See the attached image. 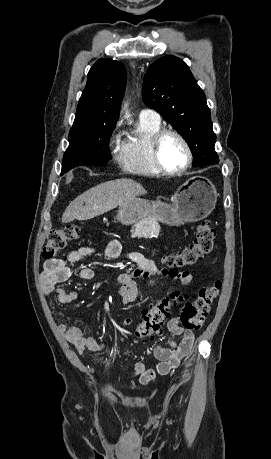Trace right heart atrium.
I'll list each match as a JSON object with an SVG mask.
<instances>
[{
	"label": "right heart atrium",
	"instance_id": "d8ad5b80",
	"mask_svg": "<svg viewBox=\"0 0 271 459\" xmlns=\"http://www.w3.org/2000/svg\"><path fill=\"white\" fill-rule=\"evenodd\" d=\"M107 145L115 154L117 160L120 159V148L122 144V133L120 131V124L116 123L107 135Z\"/></svg>",
	"mask_w": 271,
	"mask_h": 459
}]
</instances>
